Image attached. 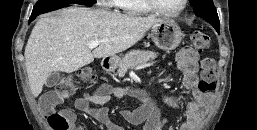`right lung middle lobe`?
I'll use <instances>...</instances> for the list:
<instances>
[{
    "label": "right lung middle lobe",
    "instance_id": "1",
    "mask_svg": "<svg viewBox=\"0 0 257 130\" xmlns=\"http://www.w3.org/2000/svg\"><path fill=\"white\" fill-rule=\"evenodd\" d=\"M94 0H38L35 7L33 8L31 18H35L37 15L58 9L60 7L67 6L71 3L82 4L86 6H92L94 4Z\"/></svg>",
    "mask_w": 257,
    "mask_h": 130
}]
</instances>
